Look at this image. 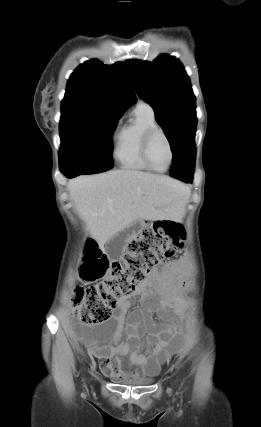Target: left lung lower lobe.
Returning <instances> with one entry per match:
<instances>
[{
    "instance_id": "1",
    "label": "left lung lower lobe",
    "mask_w": 261,
    "mask_h": 427,
    "mask_svg": "<svg viewBox=\"0 0 261 427\" xmlns=\"http://www.w3.org/2000/svg\"><path fill=\"white\" fill-rule=\"evenodd\" d=\"M195 167V144L194 136L189 138L181 147L180 153L173 161L170 176L185 183L193 179Z\"/></svg>"
}]
</instances>
